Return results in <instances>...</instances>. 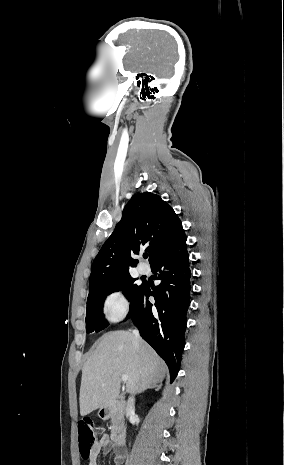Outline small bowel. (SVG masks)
I'll return each mask as SVG.
<instances>
[{"mask_svg":"<svg viewBox=\"0 0 284 465\" xmlns=\"http://www.w3.org/2000/svg\"><path fill=\"white\" fill-rule=\"evenodd\" d=\"M103 451L105 453L111 451L110 440L107 434H103L97 441L95 442L92 448V455L90 458L89 465H97L96 458ZM121 459V455L118 453H114V460L116 463H119Z\"/></svg>","mask_w":284,"mask_h":465,"instance_id":"c3829d8e","label":"small bowel"}]
</instances>
